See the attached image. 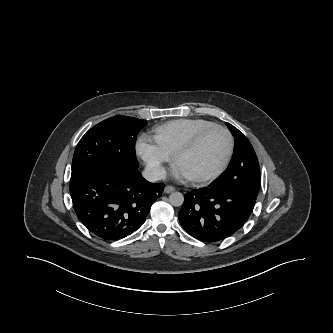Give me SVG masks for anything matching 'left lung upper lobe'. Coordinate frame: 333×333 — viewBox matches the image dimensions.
<instances>
[{"instance_id":"obj_1","label":"left lung upper lobe","mask_w":333,"mask_h":333,"mask_svg":"<svg viewBox=\"0 0 333 333\" xmlns=\"http://www.w3.org/2000/svg\"><path fill=\"white\" fill-rule=\"evenodd\" d=\"M235 139V149L227 169L211 184L229 187L257 198L261 175L255 151L246 138L233 125L226 123Z\"/></svg>"}]
</instances>
